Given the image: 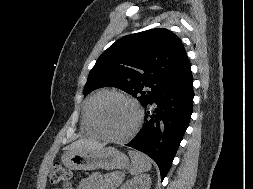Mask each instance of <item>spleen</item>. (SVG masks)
Listing matches in <instances>:
<instances>
[{
	"label": "spleen",
	"instance_id": "obj_1",
	"mask_svg": "<svg viewBox=\"0 0 253 189\" xmlns=\"http://www.w3.org/2000/svg\"><path fill=\"white\" fill-rule=\"evenodd\" d=\"M128 154L132 162L130 169L132 175H139L151 169L152 161L147 155L134 150H129Z\"/></svg>",
	"mask_w": 253,
	"mask_h": 189
}]
</instances>
